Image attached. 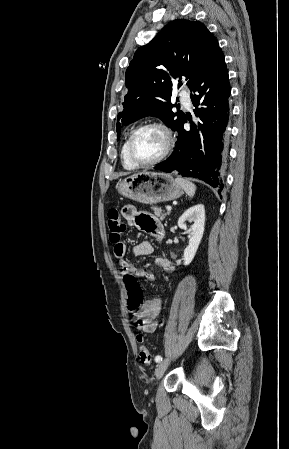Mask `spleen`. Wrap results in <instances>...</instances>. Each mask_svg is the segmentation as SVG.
Segmentation results:
<instances>
[{"instance_id":"obj_1","label":"spleen","mask_w":289,"mask_h":449,"mask_svg":"<svg viewBox=\"0 0 289 449\" xmlns=\"http://www.w3.org/2000/svg\"><path fill=\"white\" fill-rule=\"evenodd\" d=\"M175 181L184 189V191L190 198L194 196L196 191V186L194 183L181 177H177Z\"/></svg>"}]
</instances>
